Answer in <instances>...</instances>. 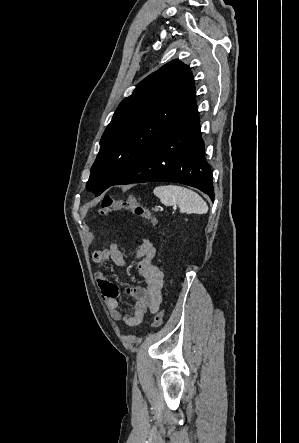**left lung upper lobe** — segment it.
<instances>
[{"label":"left lung upper lobe","instance_id":"obj_1","mask_svg":"<svg viewBox=\"0 0 299 443\" xmlns=\"http://www.w3.org/2000/svg\"><path fill=\"white\" fill-rule=\"evenodd\" d=\"M195 107L192 73L179 60L146 77L103 133L86 187L100 195Z\"/></svg>","mask_w":299,"mask_h":443}]
</instances>
